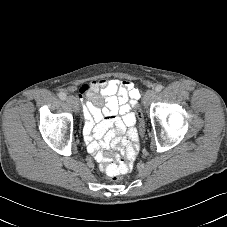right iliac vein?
<instances>
[{"label": "right iliac vein", "mask_w": 227, "mask_h": 227, "mask_svg": "<svg viewBox=\"0 0 227 227\" xmlns=\"http://www.w3.org/2000/svg\"><path fill=\"white\" fill-rule=\"evenodd\" d=\"M66 101L73 108L75 112H79V103L74 96H68Z\"/></svg>", "instance_id": "1"}]
</instances>
